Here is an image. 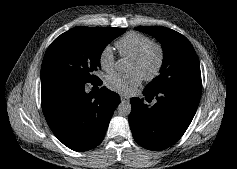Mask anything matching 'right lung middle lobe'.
<instances>
[{
  "label": "right lung middle lobe",
  "instance_id": "obj_1",
  "mask_svg": "<svg viewBox=\"0 0 237 169\" xmlns=\"http://www.w3.org/2000/svg\"><path fill=\"white\" fill-rule=\"evenodd\" d=\"M125 28L75 27L57 37L46 51L41 81L46 79L96 83L94 73L100 69V56Z\"/></svg>",
  "mask_w": 237,
  "mask_h": 169
}]
</instances>
